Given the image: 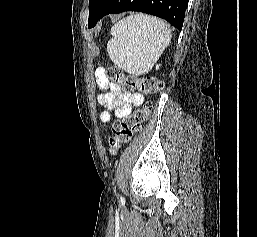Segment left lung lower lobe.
I'll list each match as a JSON object with an SVG mask.
<instances>
[{
	"label": "left lung lower lobe",
	"mask_w": 257,
	"mask_h": 237,
	"mask_svg": "<svg viewBox=\"0 0 257 237\" xmlns=\"http://www.w3.org/2000/svg\"><path fill=\"white\" fill-rule=\"evenodd\" d=\"M188 0H108L88 27L95 26L98 20L110 13L138 11L158 16L181 30Z\"/></svg>",
	"instance_id": "1"
}]
</instances>
